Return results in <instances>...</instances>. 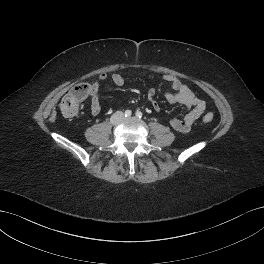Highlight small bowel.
Here are the masks:
<instances>
[{"label": "small bowel", "mask_w": 264, "mask_h": 264, "mask_svg": "<svg viewBox=\"0 0 264 264\" xmlns=\"http://www.w3.org/2000/svg\"><path fill=\"white\" fill-rule=\"evenodd\" d=\"M107 80L108 75L103 73L91 84L92 90L89 97L91 102V113L94 116H97L101 111L99 89ZM111 81L116 86H122L125 83L124 77L119 73L112 74ZM162 81L169 83L171 87L170 91L165 92L166 100L171 104H180L188 110V113L182 119L176 117L169 118V125L178 132H189L194 122L206 112L207 107L205 101L199 98L174 75H164L162 76ZM156 92V88H150L148 90V99L153 109L159 111L160 105L155 99Z\"/></svg>", "instance_id": "c3829d8e"}]
</instances>
